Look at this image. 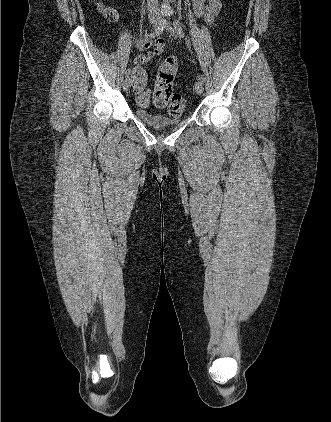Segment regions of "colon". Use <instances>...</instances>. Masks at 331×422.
<instances>
[{
    "label": "colon",
    "mask_w": 331,
    "mask_h": 422,
    "mask_svg": "<svg viewBox=\"0 0 331 422\" xmlns=\"http://www.w3.org/2000/svg\"><path fill=\"white\" fill-rule=\"evenodd\" d=\"M99 9L108 20H114L116 13L113 9L107 7L104 3H98ZM178 71V61L174 56L167 57L159 66L156 87L153 94V103L156 107L162 108L168 105V112L172 116L182 114L186 109V101L178 94H173V82ZM133 77L136 79L147 78L145 70L135 68ZM143 104L149 101V97L141 95Z\"/></svg>",
    "instance_id": "obj_1"
}]
</instances>
